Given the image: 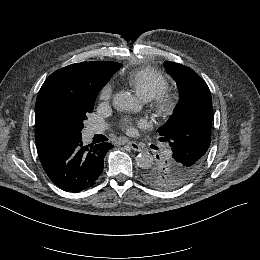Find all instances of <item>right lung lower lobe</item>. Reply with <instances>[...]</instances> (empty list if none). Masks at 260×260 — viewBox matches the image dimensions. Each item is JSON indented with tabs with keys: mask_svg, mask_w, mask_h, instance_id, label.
<instances>
[{
	"mask_svg": "<svg viewBox=\"0 0 260 260\" xmlns=\"http://www.w3.org/2000/svg\"><path fill=\"white\" fill-rule=\"evenodd\" d=\"M110 143L84 146L81 137L66 141L47 159L44 171L59 188L77 193L93 186L103 172V159Z\"/></svg>",
	"mask_w": 260,
	"mask_h": 260,
	"instance_id": "right-lung-lower-lobe-1",
	"label": "right lung lower lobe"
}]
</instances>
